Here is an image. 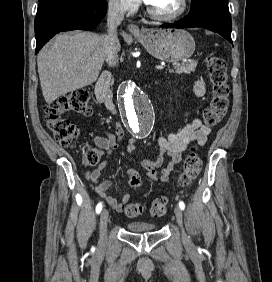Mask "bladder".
I'll use <instances>...</instances> for the list:
<instances>
[{
	"instance_id": "1",
	"label": "bladder",
	"mask_w": 272,
	"mask_h": 282,
	"mask_svg": "<svg viewBox=\"0 0 272 282\" xmlns=\"http://www.w3.org/2000/svg\"><path fill=\"white\" fill-rule=\"evenodd\" d=\"M126 227L132 233L151 232L156 229L154 223L145 221H130L126 224Z\"/></svg>"
}]
</instances>
